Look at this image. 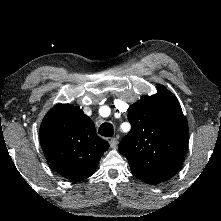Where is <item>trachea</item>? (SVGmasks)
Listing matches in <instances>:
<instances>
[{
  "label": "trachea",
  "instance_id": "1",
  "mask_svg": "<svg viewBox=\"0 0 221 221\" xmlns=\"http://www.w3.org/2000/svg\"><path fill=\"white\" fill-rule=\"evenodd\" d=\"M98 132L101 136L112 137L114 134L113 125L111 123L105 122L99 127Z\"/></svg>",
  "mask_w": 221,
  "mask_h": 221
}]
</instances>
